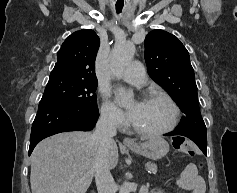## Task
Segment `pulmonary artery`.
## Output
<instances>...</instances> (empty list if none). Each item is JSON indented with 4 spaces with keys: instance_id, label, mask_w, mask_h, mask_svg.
I'll return each instance as SVG.
<instances>
[{
    "instance_id": "1",
    "label": "pulmonary artery",
    "mask_w": 237,
    "mask_h": 193,
    "mask_svg": "<svg viewBox=\"0 0 237 193\" xmlns=\"http://www.w3.org/2000/svg\"><path fill=\"white\" fill-rule=\"evenodd\" d=\"M121 77L131 85L141 87L146 83V74L142 64L138 61L131 63L122 73Z\"/></svg>"
}]
</instances>
